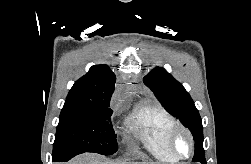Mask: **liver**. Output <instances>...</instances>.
Listing matches in <instances>:
<instances>
[{
	"instance_id": "1",
	"label": "liver",
	"mask_w": 251,
	"mask_h": 164,
	"mask_svg": "<svg viewBox=\"0 0 251 164\" xmlns=\"http://www.w3.org/2000/svg\"><path fill=\"white\" fill-rule=\"evenodd\" d=\"M67 164H146V163L111 161L98 154L86 153L75 157L72 161H70ZM150 164H155V163H150Z\"/></svg>"
}]
</instances>
